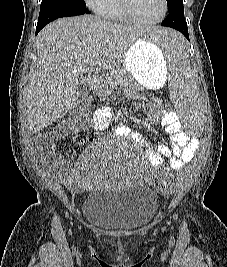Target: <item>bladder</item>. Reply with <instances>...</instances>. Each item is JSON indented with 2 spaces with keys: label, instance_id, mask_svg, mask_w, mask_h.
Wrapping results in <instances>:
<instances>
[{
  "label": "bladder",
  "instance_id": "bladder-1",
  "mask_svg": "<svg viewBox=\"0 0 227 267\" xmlns=\"http://www.w3.org/2000/svg\"><path fill=\"white\" fill-rule=\"evenodd\" d=\"M158 201L145 186L126 189H94L82 205L85 220L107 230H130L147 224L156 214Z\"/></svg>",
  "mask_w": 227,
  "mask_h": 267
}]
</instances>
